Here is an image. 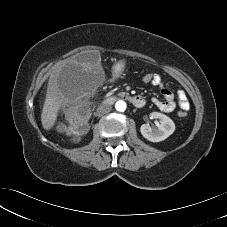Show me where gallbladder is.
I'll use <instances>...</instances> for the list:
<instances>
[{
	"label": "gallbladder",
	"mask_w": 227,
	"mask_h": 227,
	"mask_svg": "<svg viewBox=\"0 0 227 227\" xmlns=\"http://www.w3.org/2000/svg\"><path fill=\"white\" fill-rule=\"evenodd\" d=\"M99 54L94 51H87L84 53H81L77 57V61L79 62H89L91 65H98L99 64Z\"/></svg>",
	"instance_id": "1"
}]
</instances>
